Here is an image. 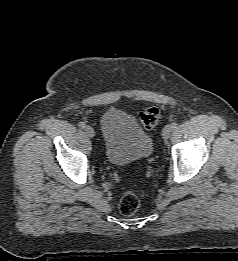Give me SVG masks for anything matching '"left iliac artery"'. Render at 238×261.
I'll use <instances>...</instances> for the list:
<instances>
[{"label": "left iliac artery", "instance_id": "44dca946", "mask_svg": "<svg viewBox=\"0 0 238 261\" xmlns=\"http://www.w3.org/2000/svg\"><path fill=\"white\" fill-rule=\"evenodd\" d=\"M170 125H171L172 129L174 130V129L177 128L178 123H177V122H173V123H171Z\"/></svg>", "mask_w": 238, "mask_h": 261}]
</instances>
